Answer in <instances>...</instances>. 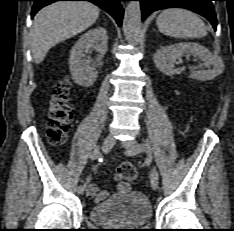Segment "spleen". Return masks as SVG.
I'll return each instance as SVG.
<instances>
[{
    "label": "spleen",
    "instance_id": "obj_1",
    "mask_svg": "<svg viewBox=\"0 0 234 231\" xmlns=\"http://www.w3.org/2000/svg\"><path fill=\"white\" fill-rule=\"evenodd\" d=\"M156 25L161 33L174 38H202L207 35L204 22L195 13L181 8L163 10Z\"/></svg>",
    "mask_w": 234,
    "mask_h": 231
}]
</instances>
